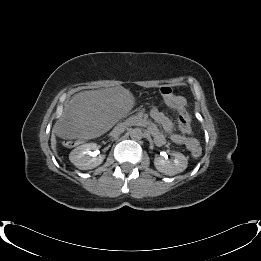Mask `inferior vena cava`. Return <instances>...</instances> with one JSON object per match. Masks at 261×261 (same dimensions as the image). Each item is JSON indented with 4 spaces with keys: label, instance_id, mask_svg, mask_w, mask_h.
Listing matches in <instances>:
<instances>
[{
    "label": "inferior vena cava",
    "instance_id": "inferior-vena-cava-1",
    "mask_svg": "<svg viewBox=\"0 0 261 261\" xmlns=\"http://www.w3.org/2000/svg\"><path fill=\"white\" fill-rule=\"evenodd\" d=\"M122 131H124V128H122L118 133H121Z\"/></svg>",
    "mask_w": 261,
    "mask_h": 261
}]
</instances>
